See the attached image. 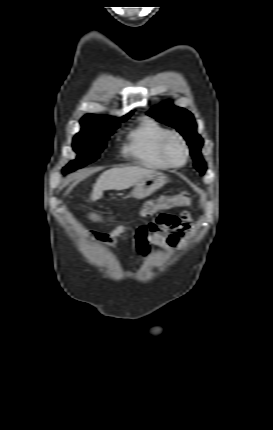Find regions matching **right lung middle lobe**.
Returning a JSON list of instances; mask_svg holds the SVG:
<instances>
[{
  "instance_id": "right-lung-middle-lobe-1",
  "label": "right lung middle lobe",
  "mask_w": 273,
  "mask_h": 430,
  "mask_svg": "<svg viewBox=\"0 0 273 430\" xmlns=\"http://www.w3.org/2000/svg\"><path fill=\"white\" fill-rule=\"evenodd\" d=\"M129 118V117H127ZM127 118L121 120L124 121ZM82 130L76 134L73 140V147L78 157L70 162L64 169V172L74 171L82 168L99 158L100 153L106 147L109 137L119 127L116 125H100L82 123Z\"/></svg>"
}]
</instances>
